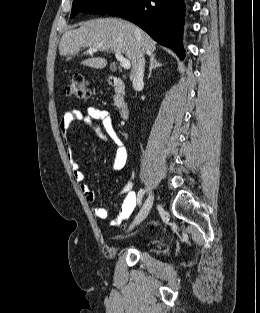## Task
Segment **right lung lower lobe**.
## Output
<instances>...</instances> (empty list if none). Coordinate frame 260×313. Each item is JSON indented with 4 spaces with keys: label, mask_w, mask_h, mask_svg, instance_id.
Segmentation results:
<instances>
[{
    "label": "right lung lower lobe",
    "mask_w": 260,
    "mask_h": 313,
    "mask_svg": "<svg viewBox=\"0 0 260 313\" xmlns=\"http://www.w3.org/2000/svg\"><path fill=\"white\" fill-rule=\"evenodd\" d=\"M181 0H127L109 12L127 19L163 46L173 49L183 59L182 31L184 9Z\"/></svg>",
    "instance_id": "98d812e1"
}]
</instances>
